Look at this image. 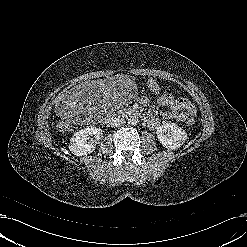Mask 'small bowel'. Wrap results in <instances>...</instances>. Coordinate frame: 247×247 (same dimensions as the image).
Returning a JSON list of instances; mask_svg holds the SVG:
<instances>
[{"mask_svg":"<svg viewBox=\"0 0 247 247\" xmlns=\"http://www.w3.org/2000/svg\"><path fill=\"white\" fill-rule=\"evenodd\" d=\"M148 86L155 94L163 93V92H161L159 86L157 85V83L153 79H150L148 81ZM142 102L144 104L148 103L147 99H145V98L142 100ZM162 106H169L170 107V111L163 113L164 118L175 119L179 122L185 121L189 116L195 115V113H196L195 108L186 99L174 97V101L172 103L162 104ZM146 122H147L148 126L151 128H154L157 125V121L153 116H148L146 118Z\"/></svg>","mask_w":247,"mask_h":247,"instance_id":"small-bowel-1","label":"small bowel"}]
</instances>
